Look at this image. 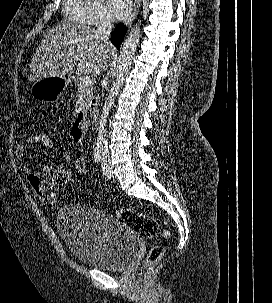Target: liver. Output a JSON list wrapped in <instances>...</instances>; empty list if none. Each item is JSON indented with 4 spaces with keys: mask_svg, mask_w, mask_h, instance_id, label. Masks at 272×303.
I'll return each mask as SVG.
<instances>
[{
    "mask_svg": "<svg viewBox=\"0 0 272 303\" xmlns=\"http://www.w3.org/2000/svg\"><path fill=\"white\" fill-rule=\"evenodd\" d=\"M113 47L97 30L81 24L63 23L49 30L38 46L28 79L37 82L65 77L75 66L80 74H100Z\"/></svg>",
    "mask_w": 272,
    "mask_h": 303,
    "instance_id": "1",
    "label": "liver"
}]
</instances>
